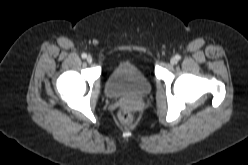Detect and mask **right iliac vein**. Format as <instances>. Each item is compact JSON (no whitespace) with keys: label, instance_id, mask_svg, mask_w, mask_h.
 Segmentation results:
<instances>
[{"label":"right iliac vein","instance_id":"1","mask_svg":"<svg viewBox=\"0 0 248 165\" xmlns=\"http://www.w3.org/2000/svg\"><path fill=\"white\" fill-rule=\"evenodd\" d=\"M86 60L88 63H91L93 61V58H92V56L89 55V56H87Z\"/></svg>","mask_w":248,"mask_h":165}]
</instances>
